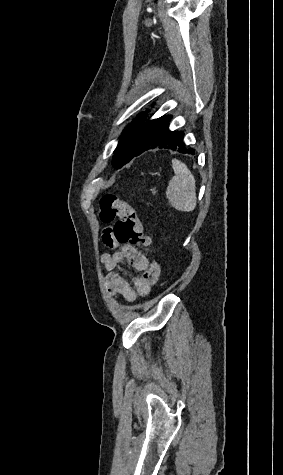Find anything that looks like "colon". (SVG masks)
<instances>
[{
  "label": "colon",
  "instance_id": "obj_1",
  "mask_svg": "<svg viewBox=\"0 0 283 475\" xmlns=\"http://www.w3.org/2000/svg\"><path fill=\"white\" fill-rule=\"evenodd\" d=\"M99 217L104 223L120 224V233H115L114 239L119 243L133 244L148 252L151 239L144 232L143 224L136 209L115 194H104L100 199Z\"/></svg>",
  "mask_w": 283,
  "mask_h": 475
}]
</instances>
